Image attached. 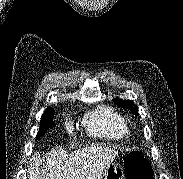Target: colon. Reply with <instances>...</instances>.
<instances>
[{
  "instance_id": "colon-1",
  "label": "colon",
  "mask_w": 183,
  "mask_h": 179,
  "mask_svg": "<svg viewBox=\"0 0 183 179\" xmlns=\"http://www.w3.org/2000/svg\"><path fill=\"white\" fill-rule=\"evenodd\" d=\"M126 179H152V171L143 154L131 151L125 160Z\"/></svg>"
}]
</instances>
